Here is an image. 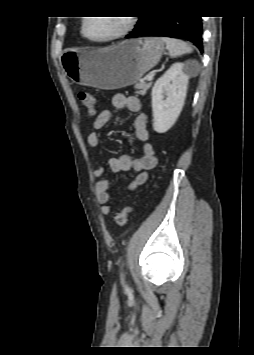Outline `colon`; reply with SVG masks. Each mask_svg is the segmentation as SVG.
<instances>
[{"mask_svg": "<svg viewBox=\"0 0 254 355\" xmlns=\"http://www.w3.org/2000/svg\"><path fill=\"white\" fill-rule=\"evenodd\" d=\"M79 100L85 110L90 114L94 115L96 112V102L93 95L89 92H80ZM132 212V208L126 206L122 208L120 211L114 214L115 224L119 227H123L127 224L130 213Z\"/></svg>", "mask_w": 254, "mask_h": 355, "instance_id": "1", "label": "colon"}]
</instances>
